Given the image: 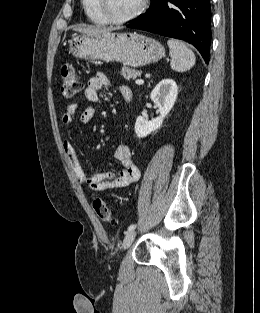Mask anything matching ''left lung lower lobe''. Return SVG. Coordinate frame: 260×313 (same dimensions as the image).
Wrapping results in <instances>:
<instances>
[{
  "mask_svg": "<svg viewBox=\"0 0 260 313\" xmlns=\"http://www.w3.org/2000/svg\"><path fill=\"white\" fill-rule=\"evenodd\" d=\"M210 24V0H152L146 13L141 14L127 27L191 43L208 63Z\"/></svg>",
  "mask_w": 260,
  "mask_h": 313,
  "instance_id": "0a47b994",
  "label": "left lung lower lobe"
}]
</instances>
